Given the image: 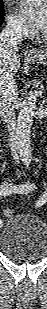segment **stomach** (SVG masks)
Instances as JSON below:
<instances>
[{
  "mask_svg": "<svg viewBox=\"0 0 47 309\" xmlns=\"http://www.w3.org/2000/svg\"><path fill=\"white\" fill-rule=\"evenodd\" d=\"M29 60L39 64L47 65V49L41 50L38 54L29 57Z\"/></svg>",
  "mask_w": 47,
  "mask_h": 309,
  "instance_id": "1",
  "label": "stomach"
}]
</instances>
